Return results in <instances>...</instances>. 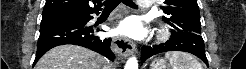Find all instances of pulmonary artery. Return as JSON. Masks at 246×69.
<instances>
[{"instance_id":"pulmonary-artery-1","label":"pulmonary artery","mask_w":246,"mask_h":69,"mask_svg":"<svg viewBox=\"0 0 246 69\" xmlns=\"http://www.w3.org/2000/svg\"><path fill=\"white\" fill-rule=\"evenodd\" d=\"M138 3L142 7H149V6H151V2H149V1H139Z\"/></svg>"}]
</instances>
